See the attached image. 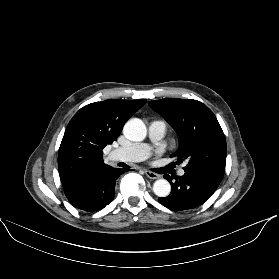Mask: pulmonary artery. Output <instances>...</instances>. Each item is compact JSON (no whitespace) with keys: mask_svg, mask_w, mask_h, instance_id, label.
<instances>
[{"mask_svg":"<svg viewBox=\"0 0 279 279\" xmlns=\"http://www.w3.org/2000/svg\"><path fill=\"white\" fill-rule=\"evenodd\" d=\"M166 131V123L162 120H155L149 124L148 134L152 143L160 141ZM150 146L147 144H134L128 147H119L111 152V158L116 161L140 162L148 158ZM184 169H180L178 174L184 175Z\"/></svg>","mask_w":279,"mask_h":279,"instance_id":"1","label":"pulmonary artery"}]
</instances>
